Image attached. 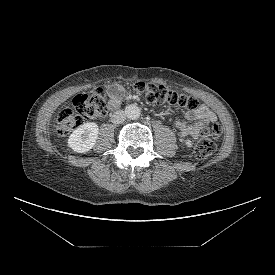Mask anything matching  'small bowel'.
Here are the masks:
<instances>
[{"label":"small bowel","instance_id":"1","mask_svg":"<svg viewBox=\"0 0 275 275\" xmlns=\"http://www.w3.org/2000/svg\"><path fill=\"white\" fill-rule=\"evenodd\" d=\"M121 101V89L119 87L110 88V106L117 107ZM216 121V115L205 105H199L195 110L186 114V120H177L174 128L179 132L182 139L196 138L205 124Z\"/></svg>","mask_w":275,"mask_h":275}]
</instances>
